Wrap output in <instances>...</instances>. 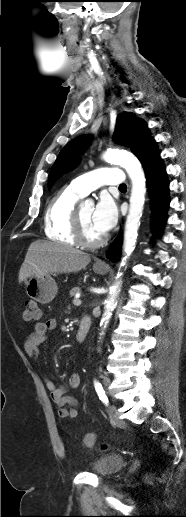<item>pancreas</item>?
Instances as JSON below:
<instances>
[{"instance_id": "cf45deb5", "label": "pancreas", "mask_w": 186, "mask_h": 517, "mask_svg": "<svg viewBox=\"0 0 186 517\" xmlns=\"http://www.w3.org/2000/svg\"><path fill=\"white\" fill-rule=\"evenodd\" d=\"M80 291H81V289H80L79 287H74V288H72V289L70 290V292H69V293H70V296H71V297H73V296H75V294H76V293H78V292H80Z\"/></svg>"}]
</instances>
